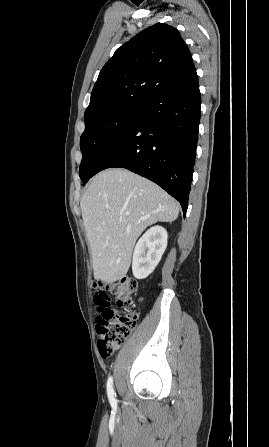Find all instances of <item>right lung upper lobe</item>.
<instances>
[{
  "label": "right lung upper lobe",
  "mask_w": 269,
  "mask_h": 447,
  "mask_svg": "<svg viewBox=\"0 0 269 447\" xmlns=\"http://www.w3.org/2000/svg\"><path fill=\"white\" fill-rule=\"evenodd\" d=\"M193 65L178 30L155 24L118 48L102 68L84 120L142 104L182 77Z\"/></svg>",
  "instance_id": "obj_1"
}]
</instances>
